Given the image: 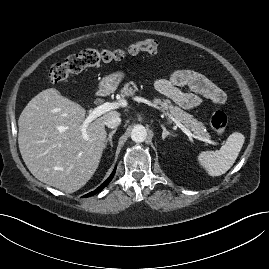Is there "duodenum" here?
Segmentation results:
<instances>
[{
	"label": "duodenum",
	"mask_w": 269,
	"mask_h": 269,
	"mask_svg": "<svg viewBox=\"0 0 269 269\" xmlns=\"http://www.w3.org/2000/svg\"><path fill=\"white\" fill-rule=\"evenodd\" d=\"M106 93V90L103 88L99 91V96H103Z\"/></svg>",
	"instance_id": "1"
}]
</instances>
